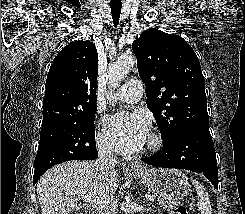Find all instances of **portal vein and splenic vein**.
Segmentation results:
<instances>
[{"label":"portal vein and splenic vein","mask_w":245,"mask_h":214,"mask_svg":"<svg viewBox=\"0 0 245 214\" xmlns=\"http://www.w3.org/2000/svg\"><path fill=\"white\" fill-rule=\"evenodd\" d=\"M145 197L147 199H149L150 201L154 202L155 199L150 196V195H145ZM81 199L83 201H86V202H89V203H93V204H96L98 206H101V207H104V206H107V205H114L115 202H113L110 198L108 197H97V196H94L92 194H88V195H82L81 196Z\"/></svg>","instance_id":"portal-vein-and-splenic-vein-1"}]
</instances>
